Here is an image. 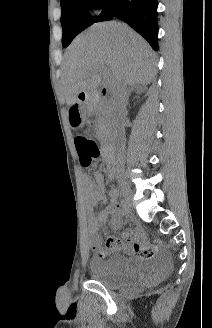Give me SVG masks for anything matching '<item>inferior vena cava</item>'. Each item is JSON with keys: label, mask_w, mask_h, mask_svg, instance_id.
<instances>
[{"label": "inferior vena cava", "mask_w": 212, "mask_h": 328, "mask_svg": "<svg viewBox=\"0 0 212 328\" xmlns=\"http://www.w3.org/2000/svg\"><path fill=\"white\" fill-rule=\"evenodd\" d=\"M127 96H128L127 85L123 82L119 83L116 89L113 91L112 109H113V116L114 118H116L120 126L121 140L125 139L124 121L126 116ZM117 161L119 165H122L123 156L121 151H119L117 154Z\"/></svg>", "instance_id": "obj_1"}]
</instances>
